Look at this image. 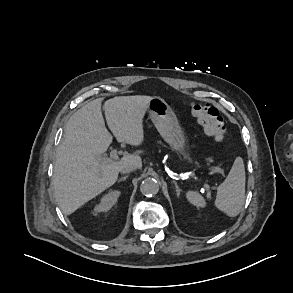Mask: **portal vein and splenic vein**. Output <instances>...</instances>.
Listing matches in <instances>:
<instances>
[{
    "label": "portal vein and splenic vein",
    "mask_w": 293,
    "mask_h": 293,
    "mask_svg": "<svg viewBox=\"0 0 293 293\" xmlns=\"http://www.w3.org/2000/svg\"><path fill=\"white\" fill-rule=\"evenodd\" d=\"M119 157H118V153H117V150L116 149H113L111 152H110V157H105V156H100L99 157V161L103 164L105 163H109V162H112V161H115V160H118ZM205 188L208 189L209 186L208 185H205Z\"/></svg>",
    "instance_id": "18ae733b"
}]
</instances>
